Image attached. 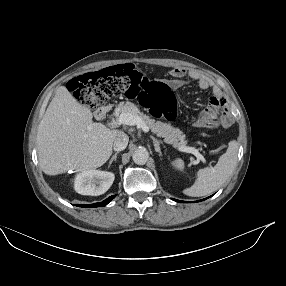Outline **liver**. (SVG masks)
I'll return each instance as SVG.
<instances>
[{
    "mask_svg": "<svg viewBox=\"0 0 286 286\" xmlns=\"http://www.w3.org/2000/svg\"><path fill=\"white\" fill-rule=\"evenodd\" d=\"M92 118L90 109L65 86L56 90L37 132L38 160L45 174L92 170L107 162L122 131L110 130Z\"/></svg>",
    "mask_w": 286,
    "mask_h": 286,
    "instance_id": "obj_1",
    "label": "liver"
}]
</instances>
